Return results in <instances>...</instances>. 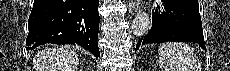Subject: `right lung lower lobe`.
<instances>
[{
    "label": "right lung lower lobe",
    "instance_id": "right-lung-lower-lobe-1",
    "mask_svg": "<svg viewBox=\"0 0 230 71\" xmlns=\"http://www.w3.org/2000/svg\"><path fill=\"white\" fill-rule=\"evenodd\" d=\"M98 6L99 0H34L26 49L47 43H76L99 57Z\"/></svg>",
    "mask_w": 230,
    "mask_h": 71
}]
</instances>
